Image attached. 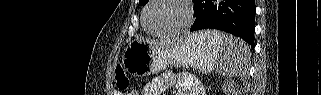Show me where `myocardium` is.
Returning <instances> with one entry per match:
<instances>
[{
  "label": "myocardium",
  "instance_id": "f54148a6",
  "mask_svg": "<svg viewBox=\"0 0 321 95\" xmlns=\"http://www.w3.org/2000/svg\"><path fill=\"white\" fill-rule=\"evenodd\" d=\"M158 1L159 0H150L148 2V4L146 5V7L144 8L143 15H142V24H143L144 29L148 33H150L151 35L157 36V37L175 36V35H179V34L186 32L187 29L192 25V23L194 21V8H193V5L190 0H176L184 6L185 11H186L185 23L180 28H177L175 30L168 31V32H163V33H156V32H153L152 30L149 29V27L147 25L148 11H149L150 7L152 5H154L155 3H157Z\"/></svg>",
  "mask_w": 321,
  "mask_h": 95
}]
</instances>
